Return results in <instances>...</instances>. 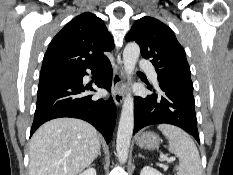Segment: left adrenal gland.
Listing matches in <instances>:
<instances>
[{"instance_id": "obj_1", "label": "left adrenal gland", "mask_w": 233, "mask_h": 175, "mask_svg": "<svg viewBox=\"0 0 233 175\" xmlns=\"http://www.w3.org/2000/svg\"><path fill=\"white\" fill-rule=\"evenodd\" d=\"M138 157L144 158L141 154H138Z\"/></svg>"}]
</instances>
